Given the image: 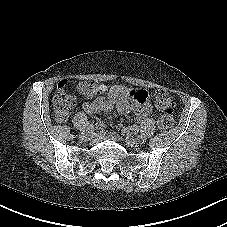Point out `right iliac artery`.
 <instances>
[{
  "label": "right iliac artery",
  "instance_id": "1",
  "mask_svg": "<svg viewBox=\"0 0 227 227\" xmlns=\"http://www.w3.org/2000/svg\"><path fill=\"white\" fill-rule=\"evenodd\" d=\"M102 127V122H97L94 125H91L90 130H95Z\"/></svg>",
  "mask_w": 227,
  "mask_h": 227
}]
</instances>
